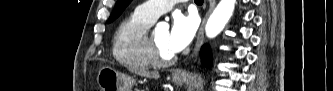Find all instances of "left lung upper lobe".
I'll use <instances>...</instances> for the list:
<instances>
[{
  "instance_id": "obj_1",
  "label": "left lung upper lobe",
  "mask_w": 333,
  "mask_h": 91,
  "mask_svg": "<svg viewBox=\"0 0 333 91\" xmlns=\"http://www.w3.org/2000/svg\"><path fill=\"white\" fill-rule=\"evenodd\" d=\"M131 0H117V3L113 9L111 16L108 19V23L114 21L126 8Z\"/></svg>"
}]
</instances>
